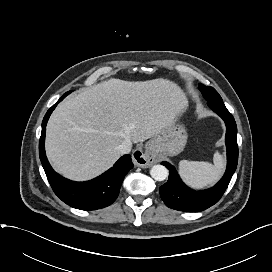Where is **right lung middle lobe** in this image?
<instances>
[{
	"instance_id": "1",
	"label": "right lung middle lobe",
	"mask_w": 272,
	"mask_h": 272,
	"mask_svg": "<svg viewBox=\"0 0 272 272\" xmlns=\"http://www.w3.org/2000/svg\"><path fill=\"white\" fill-rule=\"evenodd\" d=\"M71 91L65 93L62 97L64 98L65 96H67Z\"/></svg>"
}]
</instances>
